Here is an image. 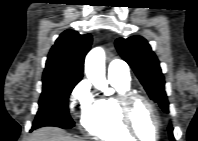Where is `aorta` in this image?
Masks as SVG:
<instances>
[{
  "instance_id": "aorta-1",
  "label": "aorta",
  "mask_w": 198,
  "mask_h": 141,
  "mask_svg": "<svg viewBox=\"0 0 198 141\" xmlns=\"http://www.w3.org/2000/svg\"><path fill=\"white\" fill-rule=\"evenodd\" d=\"M85 74L94 87L105 95H112L105 75V51L102 47L93 48L85 59Z\"/></svg>"
}]
</instances>
